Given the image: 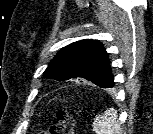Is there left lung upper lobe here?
I'll return each mask as SVG.
<instances>
[{"instance_id":"obj_1","label":"left lung upper lobe","mask_w":153,"mask_h":134,"mask_svg":"<svg viewBox=\"0 0 153 134\" xmlns=\"http://www.w3.org/2000/svg\"><path fill=\"white\" fill-rule=\"evenodd\" d=\"M43 74L58 81L86 79L100 87L112 88L115 84L107 52L99 41L92 39L62 48Z\"/></svg>"}]
</instances>
